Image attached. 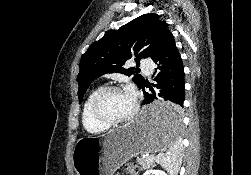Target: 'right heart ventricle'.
<instances>
[{
    "label": "right heart ventricle",
    "instance_id": "obj_1",
    "mask_svg": "<svg viewBox=\"0 0 251 175\" xmlns=\"http://www.w3.org/2000/svg\"><path fill=\"white\" fill-rule=\"evenodd\" d=\"M103 87L99 86L93 89L85 99V102L83 104L82 108V124L84 129L94 135L101 134L108 130V126L102 124L98 120H96L92 114V102L97 95V93L102 89Z\"/></svg>",
    "mask_w": 251,
    "mask_h": 175
}]
</instances>
